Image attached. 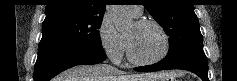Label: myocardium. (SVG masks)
Wrapping results in <instances>:
<instances>
[{
  "mask_svg": "<svg viewBox=\"0 0 237 81\" xmlns=\"http://www.w3.org/2000/svg\"><path fill=\"white\" fill-rule=\"evenodd\" d=\"M135 23L140 27L149 26V25L156 27L164 39L165 46H164L162 53L158 57H156L154 59H149V60H142V59H139L134 54L131 43H130L128 37L126 36L125 42H126L127 53H128V57H129L130 61L135 65L145 66V65H152V64L158 63V62L162 61L163 59H165L166 56L168 55V53L170 51V47H171L170 38H169V35L167 34V32L165 31V29L155 20L138 19Z\"/></svg>",
  "mask_w": 237,
  "mask_h": 81,
  "instance_id": "myocardium-1",
  "label": "myocardium"
}]
</instances>
